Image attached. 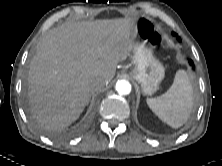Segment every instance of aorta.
<instances>
[{
	"instance_id": "aorta-1",
	"label": "aorta",
	"mask_w": 222,
	"mask_h": 166,
	"mask_svg": "<svg viewBox=\"0 0 222 166\" xmlns=\"http://www.w3.org/2000/svg\"><path fill=\"white\" fill-rule=\"evenodd\" d=\"M116 91L121 95H127L131 92V84L126 80H119L116 83Z\"/></svg>"
}]
</instances>
